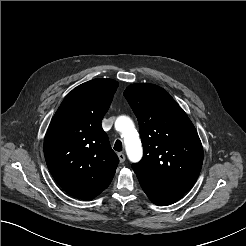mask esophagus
Instances as JSON below:
<instances>
[{
    "label": "esophagus",
    "mask_w": 246,
    "mask_h": 246,
    "mask_svg": "<svg viewBox=\"0 0 246 246\" xmlns=\"http://www.w3.org/2000/svg\"><path fill=\"white\" fill-rule=\"evenodd\" d=\"M119 161L123 163L125 161V154L122 152H119L118 154Z\"/></svg>",
    "instance_id": "obj_1"
}]
</instances>
